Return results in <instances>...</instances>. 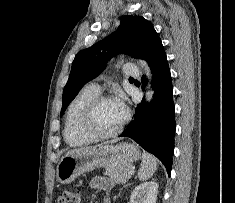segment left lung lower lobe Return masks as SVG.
<instances>
[{
	"label": "left lung lower lobe",
	"instance_id": "1",
	"mask_svg": "<svg viewBox=\"0 0 235 203\" xmlns=\"http://www.w3.org/2000/svg\"><path fill=\"white\" fill-rule=\"evenodd\" d=\"M146 60L153 73L155 96L150 104L142 101L137 106L134 119L120 137L131 138L154 154L164 164L170 176L176 128L175 110L171 74L161 40L155 43ZM146 83L143 76V89Z\"/></svg>",
	"mask_w": 235,
	"mask_h": 203
}]
</instances>
